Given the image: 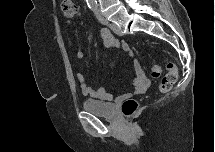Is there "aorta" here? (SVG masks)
<instances>
[{
  "label": "aorta",
  "instance_id": "762f6f07",
  "mask_svg": "<svg viewBox=\"0 0 215 152\" xmlns=\"http://www.w3.org/2000/svg\"><path fill=\"white\" fill-rule=\"evenodd\" d=\"M90 8L94 9L97 7V0H87Z\"/></svg>",
  "mask_w": 215,
  "mask_h": 152
}]
</instances>
